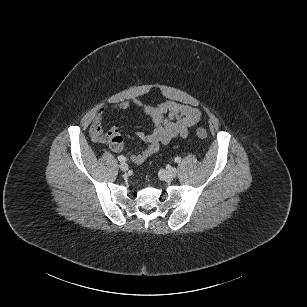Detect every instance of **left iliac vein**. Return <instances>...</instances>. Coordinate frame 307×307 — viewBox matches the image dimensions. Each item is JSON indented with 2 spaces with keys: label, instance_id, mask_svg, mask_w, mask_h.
Segmentation results:
<instances>
[{
  "label": "left iliac vein",
  "instance_id": "obj_1",
  "mask_svg": "<svg viewBox=\"0 0 307 307\" xmlns=\"http://www.w3.org/2000/svg\"><path fill=\"white\" fill-rule=\"evenodd\" d=\"M177 172V169L175 167H172L163 171L162 175L165 180H173L176 177Z\"/></svg>",
  "mask_w": 307,
  "mask_h": 307
}]
</instances>
